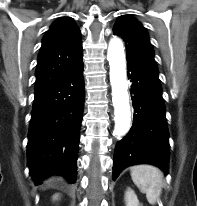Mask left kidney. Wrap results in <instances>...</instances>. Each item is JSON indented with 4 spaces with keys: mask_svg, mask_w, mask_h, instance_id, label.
<instances>
[{
    "mask_svg": "<svg viewBox=\"0 0 197 206\" xmlns=\"http://www.w3.org/2000/svg\"><path fill=\"white\" fill-rule=\"evenodd\" d=\"M126 206H140L136 194L130 188L125 193Z\"/></svg>",
    "mask_w": 197,
    "mask_h": 206,
    "instance_id": "1",
    "label": "left kidney"
}]
</instances>
